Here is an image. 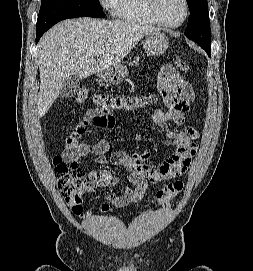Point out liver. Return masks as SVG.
Wrapping results in <instances>:
<instances>
[{
    "mask_svg": "<svg viewBox=\"0 0 253 271\" xmlns=\"http://www.w3.org/2000/svg\"><path fill=\"white\" fill-rule=\"evenodd\" d=\"M158 29L136 22L69 19L47 31L38 43V117L47 113L66 79H84L117 65L148 33ZM102 49L100 55L96 50Z\"/></svg>",
    "mask_w": 253,
    "mask_h": 271,
    "instance_id": "1",
    "label": "liver"
}]
</instances>
